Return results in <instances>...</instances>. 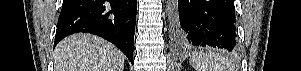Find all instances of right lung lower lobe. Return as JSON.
<instances>
[{
	"mask_svg": "<svg viewBox=\"0 0 301 71\" xmlns=\"http://www.w3.org/2000/svg\"><path fill=\"white\" fill-rule=\"evenodd\" d=\"M137 0H64L54 45L78 32L98 35L116 45L133 64Z\"/></svg>",
	"mask_w": 301,
	"mask_h": 71,
	"instance_id": "98d812e1",
	"label": "right lung lower lobe"
}]
</instances>
